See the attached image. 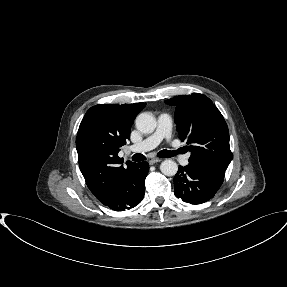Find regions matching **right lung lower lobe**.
<instances>
[{
    "label": "right lung lower lobe",
    "instance_id": "obj_1",
    "mask_svg": "<svg viewBox=\"0 0 287 287\" xmlns=\"http://www.w3.org/2000/svg\"><path fill=\"white\" fill-rule=\"evenodd\" d=\"M148 171L147 162L135 163L115 182L107 196L100 202L114 211L135 207L144 197Z\"/></svg>",
    "mask_w": 287,
    "mask_h": 287
}]
</instances>
